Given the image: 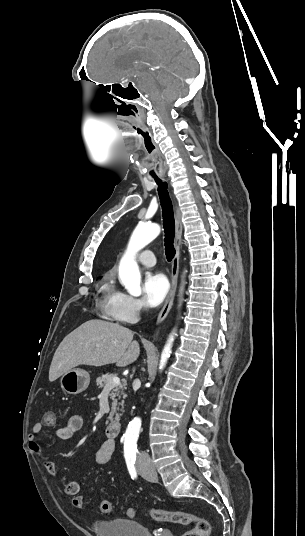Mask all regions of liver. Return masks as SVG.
<instances>
[{"label": "liver", "mask_w": 305, "mask_h": 536, "mask_svg": "<svg viewBox=\"0 0 305 536\" xmlns=\"http://www.w3.org/2000/svg\"><path fill=\"white\" fill-rule=\"evenodd\" d=\"M133 334L119 324L89 320L68 334L58 346L49 370V382H55L76 366H129L140 354Z\"/></svg>", "instance_id": "obj_1"}]
</instances>
